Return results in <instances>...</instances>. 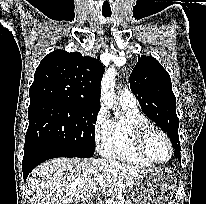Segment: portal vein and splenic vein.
I'll return each instance as SVG.
<instances>
[{"mask_svg":"<svg viewBox=\"0 0 206 204\" xmlns=\"http://www.w3.org/2000/svg\"><path fill=\"white\" fill-rule=\"evenodd\" d=\"M96 181H97V182L103 181V176H101V175H100V176H97V177H96Z\"/></svg>","mask_w":206,"mask_h":204,"instance_id":"portal-vein-and-splenic-vein-1","label":"portal vein and splenic vein"}]
</instances>
